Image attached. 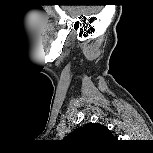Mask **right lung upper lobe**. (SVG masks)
<instances>
[{
  "mask_svg": "<svg viewBox=\"0 0 153 153\" xmlns=\"http://www.w3.org/2000/svg\"><path fill=\"white\" fill-rule=\"evenodd\" d=\"M82 147H96L115 139L111 131L98 123H88L81 128H76L65 138Z\"/></svg>",
  "mask_w": 153,
  "mask_h": 153,
  "instance_id": "obj_1",
  "label": "right lung upper lobe"
}]
</instances>
